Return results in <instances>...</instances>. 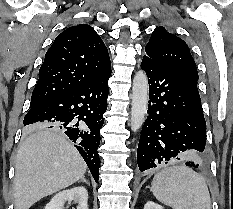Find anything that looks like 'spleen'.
I'll return each mask as SVG.
<instances>
[{
	"instance_id": "spleen-1",
	"label": "spleen",
	"mask_w": 233,
	"mask_h": 209,
	"mask_svg": "<svg viewBox=\"0 0 233 209\" xmlns=\"http://www.w3.org/2000/svg\"><path fill=\"white\" fill-rule=\"evenodd\" d=\"M151 191L157 200L173 209H211L204 178L185 166L168 167L158 172Z\"/></svg>"
}]
</instances>
